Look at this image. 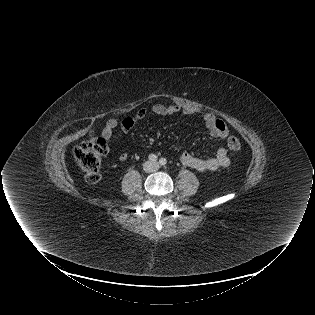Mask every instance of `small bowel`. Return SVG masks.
<instances>
[{
  "instance_id": "obj_1",
  "label": "small bowel",
  "mask_w": 315,
  "mask_h": 315,
  "mask_svg": "<svg viewBox=\"0 0 315 315\" xmlns=\"http://www.w3.org/2000/svg\"><path fill=\"white\" fill-rule=\"evenodd\" d=\"M183 112L184 114H191L190 109H183L178 105H164L154 104L150 108H141L135 115L126 117L121 121L116 119H110L106 122L103 128V134L111 139L113 131L116 128H120L124 132L130 131L139 121L143 120L149 113H153L160 118H166L168 116ZM204 123L210 132V135L215 138H226L228 136V129L225 123L218 119L214 114L207 113L204 115ZM121 160L126 159V155L120 157ZM179 160L185 166L193 168L197 171H215L222 167H228L230 165V159L227 155V151L224 147H217L215 154L212 157L203 159L192 155L187 151H182L179 154Z\"/></svg>"
}]
</instances>
